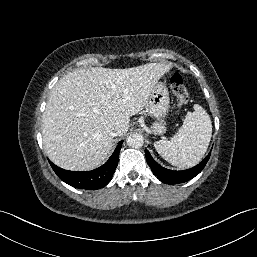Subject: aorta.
I'll list each match as a JSON object with an SVG mask.
<instances>
[{
	"mask_svg": "<svg viewBox=\"0 0 257 257\" xmlns=\"http://www.w3.org/2000/svg\"><path fill=\"white\" fill-rule=\"evenodd\" d=\"M143 143H144V138L141 134H138V133L131 134L127 138V144L132 148H139L143 146Z\"/></svg>",
	"mask_w": 257,
	"mask_h": 257,
	"instance_id": "762f6f07",
	"label": "aorta"
}]
</instances>
